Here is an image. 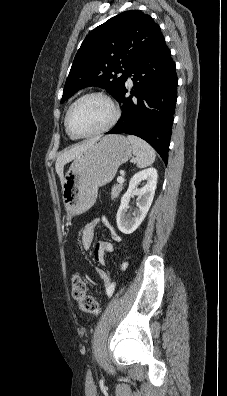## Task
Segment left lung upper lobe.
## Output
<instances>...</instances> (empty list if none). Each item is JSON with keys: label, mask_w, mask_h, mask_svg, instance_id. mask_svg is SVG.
Segmentation results:
<instances>
[{"label": "left lung upper lobe", "mask_w": 227, "mask_h": 396, "mask_svg": "<svg viewBox=\"0 0 227 396\" xmlns=\"http://www.w3.org/2000/svg\"><path fill=\"white\" fill-rule=\"evenodd\" d=\"M162 36L152 17L137 10L122 12L96 27L75 56L61 103L87 86L104 88L117 98L131 67Z\"/></svg>", "instance_id": "5c2ea615"}]
</instances>
